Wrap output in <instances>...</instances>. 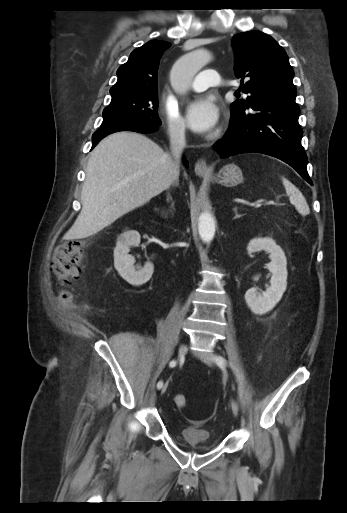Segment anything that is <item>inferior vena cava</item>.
Here are the masks:
<instances>
[{"mask_svg": "<svg viewBox=\"0 0 347 513\" xmlns=\"http://www.w3.org/2000/svg\"><path fill=\"white\" fill-rule=\"evenodd\" d=\"M169 136H170V150H171V156H169V158H170L171 169H172V172L178 176L181 154L183 152V149L186 146L184 127H176V128L171 129L169 132Z\"/></svg>", "mask_w": 347, "mask_h": 513, "instance_id": "1", "label": "inferior vena cava"}]
</instances>
